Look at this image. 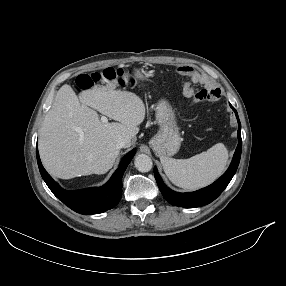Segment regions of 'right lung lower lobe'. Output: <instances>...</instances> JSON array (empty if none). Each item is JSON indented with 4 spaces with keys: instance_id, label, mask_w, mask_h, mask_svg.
<instances>
[{
    "instance_id": "1",
    "label": "right lung lower lobe",
    "mask_w": 286,
    "mask_h": 286,
    "mask_svg": "<svg viewBox=\"0 0 286 286\" xmlns=\"http://www.w3.org/2000/svg\"><path fill=\"white\" fill-rule=\"evenodd\" d=\"M136 151L129 152L121 161L119 168L110 180L99 188L77 191L62 189L43 168L36 149L41 176L53 194L65 205L80 214H98L115 207L122 197V177Z\"/></svg>"
}]
</instances>
